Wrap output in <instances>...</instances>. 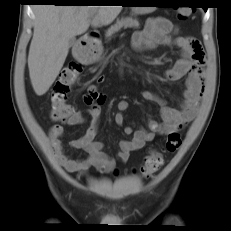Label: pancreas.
I'll list each match as a JSON object with an SVG mask.
<instances>
[{"label": "pancreas", "instance_id": "cf45deb5", "mask_svg": "<svg viewBox=\"0 0 231 231\" xmlns=\"http://www.w3.org/2000/svg\"><path fill=\"white\" fill-rule=\"evenodd\" d=\"M139 22L136 18L122 17L117 19L116 23L112 25L106 32V38H110L113 34L120 31L122 28H138Z\"/></svg>", "mask_w": 231, "mask_h": 231}]
</instances>
